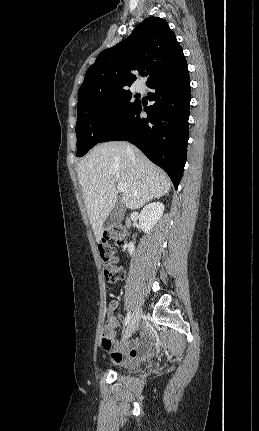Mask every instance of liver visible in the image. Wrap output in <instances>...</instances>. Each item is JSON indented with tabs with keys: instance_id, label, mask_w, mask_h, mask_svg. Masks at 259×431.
Returning a JSON list of instances; mask_svg holds the SVG:
<instances>
[{
	"instance_id": "1",
	"label": "liver",
	"mask_w": 259,
	"mask_h": 431,
	"mask_svg": "<svg viewBox=\"0 0 259 431\" xmlns=\"http://www.w3.org/2000/svg\"><path fill=\"white\" fill-rule=\"evenodd\" d=\"M126 142L99 144L78 164L77 174L85 207L99 243L103 224L117 202L116 183L126 185L123 203L131 210L159 198L171 188L167 174L134 146Z\"/></svg>"
}]
</instances>
